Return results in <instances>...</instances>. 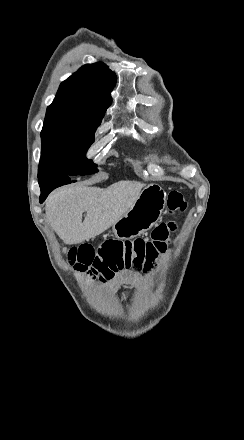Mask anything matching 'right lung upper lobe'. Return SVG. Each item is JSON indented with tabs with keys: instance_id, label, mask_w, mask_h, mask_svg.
<instances>
[{
	"instance_id": "1",
	"label": "right lung upper lobe",
	"mask_w": 244,
	"mask_h": 440,
	"mask_svg": "<svg viewBox=\"0 0 244 440\" xmlns=\"http://www.w3.org/2000/svg\"><path fill=\"white\" fill-rule=\"evenodd\" d=\"M116 75L103 63L86 64L64 81L52 104L75 105L98 110L110 106Z\"/></svg>"
}]
</instances>
